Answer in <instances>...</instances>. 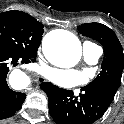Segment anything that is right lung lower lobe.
Returning a JSON list of instances; mask_svg holds the SVG:
<instances>
[{
  "label": "right lung lower lobe",
  "instance_id": "obj_1",
  "mask_svg": "<svg viewBox=\"0 0 124 124\" xmlns=\"http://www.w3.org/2000/svg\"><path fill=\"white\" fill-rule=\"evenodd\" d=\"M19 63H30V58L0 49V120L18 111L26 98V94L11 90L6 81L9 68Z\"/></svg>",
  "mask_w": 124,
  "mask_h": 124
}]
</instances>
